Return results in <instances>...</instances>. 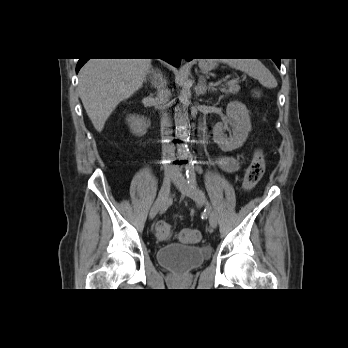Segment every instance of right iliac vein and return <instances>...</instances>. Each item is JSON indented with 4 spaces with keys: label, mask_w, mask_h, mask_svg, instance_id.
<instances>
[{
    "label": "right iliac vein",
    "mask_w": 348,
    "mask_h": 348,
    "mask_svg": "<svg viewBox=\"0 0 348 348\" xmlns=\"http://www.w3.org/2000/svg\"><path fill=\"white\" fill-rule=\"evenodd\" d=\"M172 181H174V179L171 177H166L164 179L163 184L161 186V189L159 191L158 197L150 209V213H149L150 219H153L158 214L160 209L162 208L165 200L167 199V197L170 193Z\"/></svg>",
    "instance_id": "right-iliac-vein-1"
}]
</instances>
